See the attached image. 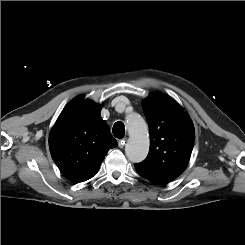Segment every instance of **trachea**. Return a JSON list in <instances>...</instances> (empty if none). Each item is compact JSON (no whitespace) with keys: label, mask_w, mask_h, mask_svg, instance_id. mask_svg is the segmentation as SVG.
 Masks as SVG:
<instances>
[{"label":"trachea","mask_w":245,"mask_h":245,"mask_svg":"<svg viewBox=\"0 0 245 245\" xmlns=\"http://www.w3.org/2000/svg\"><path fill=\"white\" fill-rule=\"evenodd\" d=\"M124 133H125V126L122 122H116L113 125V135L118 138L121 139L124 137Z\"/></svg>","instance_id":"3493384b"}]
</instances>
